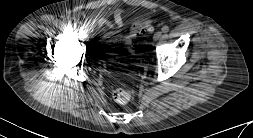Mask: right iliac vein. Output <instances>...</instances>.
<instances>
[{"label": "right iliac vein", "mask_w": 253, "mask_h": 138, "mask_svg": "<svg viewBox=\"0 0 253 138\" xmlns=\"http://www.w3.org/2000/svg\"><path fill=\"white\" fill-rule=\"evenodd\" d=\"M76 33H77L78 35H81V34L83 33V30H82L81 28H77V29H76Z\"/></svg>", "instance_id": "obj_1"}]
</instances>
